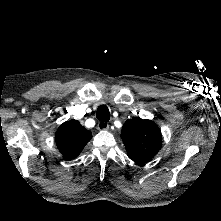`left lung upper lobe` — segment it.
I'll use <instances>...</instances> for the list:
<instances>
[{
  "label": "left lung upper lobe",
  "instance_id": "obj_1",
  "mask_svg": "<svg viewBox=\"0 0 221 221\" xmlns=\"http://www.w3.org/2000/svg\"><path fill=\"white\" fill-rule=\"evenodd\" d=\"M121 138L128 157L137 163L149 161L161 148V131L150 120L138 117L127 120L122 127Z\"/></svg>",
  "mask_w": 221,
  "mask_h": 221
}]
</instances>
